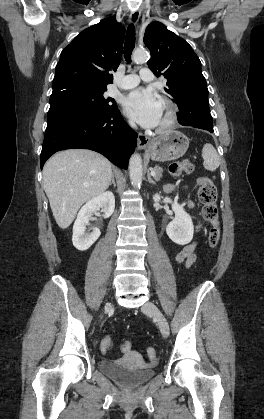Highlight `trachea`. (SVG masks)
<instances>
[{
  "mask_svg": "<svg viewBox=\"0 0 264 419\" xmlns=\"http://www.w3.org/2000/svg\"><path fill=\"white\" fill-rule=\"evenodd\" d=\"M135 47V27L133 24L128 26L124 45V58L129 63L131 62V54Z\"/></svg>",
  "mask_w": 264,
  "mask_h": 419,
  "instance_id": "trachea-1",
  "label": "trachea"
}]
</instances>
